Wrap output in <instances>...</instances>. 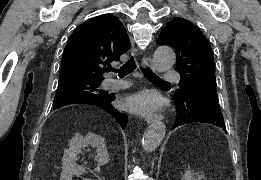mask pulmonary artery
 Masks as SVG:
<instances>
[{"instance_id": "pulmonary-artery-1", "label": "pulmonary artery", "mask_w": 261, "mask_h": 180, "mask_svg": "<svg viewBox=\"0 0 261 180\" xmlns=\"http://www.w3.org/2000/svg\"><path fill=\"white\" fill-rule=\"evenodd\" d=\"M162 77H181V72H162ZM164 83H180V78H164ZM126 85L125 82L114 78H107L103 81V86L109 89H121Z\"/></svg>"}]
</instances>
